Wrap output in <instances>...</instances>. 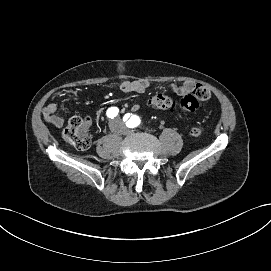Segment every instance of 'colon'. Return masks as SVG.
<instances>
[{
  "label": "colon",
  "mask_w": 271,
  "mask_h": 271,
  "mask_svg": "<svg viewBox=\"0 0 271 271\" xmlns=\"http://www.w3.org/2000/svg\"><path fill=\"white\" fill-rule=\"evenodd\" d=\"M211 93L205 86L197 84L191 93L185 94L180 100H176L166 94H155L148 99L150 106L162 109L173 110L179 108L182 111L193 112L199 107L201 101H206L210 98ZM202 133L200 128H193L190 135L198 137ZM64 139L72 147L78 150H86L91 144L88 135V124L85 120L75 117L72 118L64 130Z\"/></svg>",
  "instance_id": "obj_1"
}]
</instances>
